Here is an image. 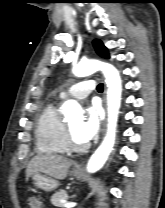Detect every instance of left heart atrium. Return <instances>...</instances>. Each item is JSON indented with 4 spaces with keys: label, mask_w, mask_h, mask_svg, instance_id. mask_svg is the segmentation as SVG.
Segmentation results:
<instances>
[{
    "label": "left heart atrium",
    "mask_w": 165,
    "mask_h": 208,
    "mask_svg": "<svg viewBox=\"0 0 165 208\" xmlns=\"http://www.w3.org/2000/svg\"><path fill=\"white\" fill-rule=\"evenodd\" d=\"M102 119L100 106L93 102L86 108L85 118L78 128V137L83 143H88L97 135Z\"/></svg>",
    "instance_id": "1"
}]
</instances>
